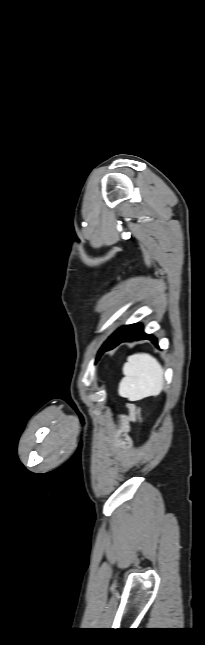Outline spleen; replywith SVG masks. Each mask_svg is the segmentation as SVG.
<instances>
[{
	"instance_id": "obj_1",
	"label": "spleen",
	"mask_w": 205,
	"mask_h": 645,
	"mask_svg": "<svg viewBox=\"0 0 205 645\" xmlns=\"http://www.w3.org/2000/svg\"><path fill=\"white\" fill-rule=\"evenodd\" d=\"M123 374L119 394L130 401L157 396L163 389L164 370L150 354L138 353L129 356L123 366Z\"/></svg>"
}]
</instances>
